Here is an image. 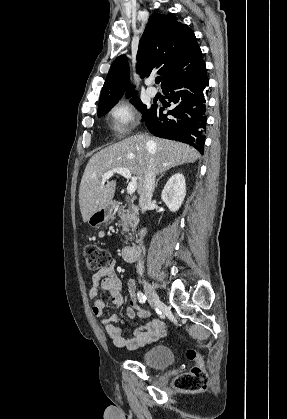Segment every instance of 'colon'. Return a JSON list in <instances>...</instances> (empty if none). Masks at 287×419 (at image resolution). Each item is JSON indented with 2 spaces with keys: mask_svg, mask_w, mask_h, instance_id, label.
I'll return each mask as SVG.
<instances>
[{
  "mask_svg": "<svg viewBox=\"0 0 287 419\" xmlns=\"http://www.w3.org/2000/svg\"><path fill=\"white\" fill-rule=\"evenodd\" d=\"M85 269L88 272L101 270L109 265L110 254L107 250L97 245H87L83 249ZM187 358L195 364L190 371L178 375L174 379L176 388L186 391H198L204 389L208 382V376L203 361L194 350L187 351Z\"/></svg>",
  "mask_w": 287,
  "mask_h": 419,
  "instance_id": "1",
  "label": "colon"
}]
</instances>
